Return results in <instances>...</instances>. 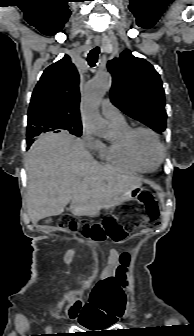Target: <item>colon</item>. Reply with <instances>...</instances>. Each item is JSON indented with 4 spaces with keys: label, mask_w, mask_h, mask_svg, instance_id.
Instances as JSON below:
<instances>
[{
    "label": "colon",
    "mask_w": 194,
    "mask_h": 336,
    "mask_svg": "<svg viewBox=\"0 0 194 336\" xmlns=\"http://www.w3.org/2000/svg\"><path fill=\"white\" fill-rule=\"evenodd\" d=\"M142 210L143 213L138 212ZM159 209L153 195L149 192H141L136 200L125 203L116 215L106 216L102 222L94 224H78L69 216L62 217L60 226L70 230L81 229L86 237L97 242L110 240L114 243L124 241L129 232L142 226H152L157 222ZM127 258L123 257V264ZM77 301L69 312L70 317H75L80 308Z\"/></svg>",
    "instance_id": "5ec220e1"
}]
</instances>
